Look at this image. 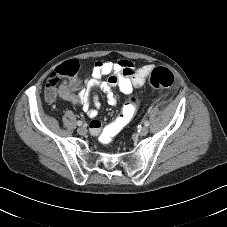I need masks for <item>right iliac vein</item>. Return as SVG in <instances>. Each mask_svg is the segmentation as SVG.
<instances>
[{
	"label": "right iliac vein",
	"mask_w": 227,
	"mask_h": 227,
	"mask_svg": "<svg viewBox=\"0 0 227 227\" xmlns=\"http://www.w3.org/2000/svg\"><path fill=\"white\" fill-rule=\"evenodd\" d=\"M77 132H78L79 135H85L86 132H87V130H86L85 127H79V128L77 129Z\"/></svg>",
	"instance_id": "1"
}]
</instances>
